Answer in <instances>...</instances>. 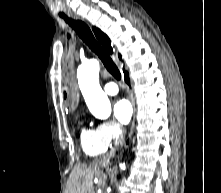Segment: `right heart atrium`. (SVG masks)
Listing matches in <instances>:
<instances>
[{
    "mask_svg": "<svg viewBox=\"0 0 221 193\" xmlns=\"http://www.w3.org/2000/svg\"><path fill=\"white\" fill-rule=\"evenodd\" d=\"M96 131L100 138L108 145H112L117 142L123 133L120 125L113 120L99 123L96 127Z\"/></svg>",
    "mask_w": 221,
    "mask_h": 193,
    "instance_id": "1",
    "label": "right heart atrium"
}]
</instances>
